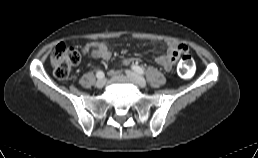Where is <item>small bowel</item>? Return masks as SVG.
<instances>
[{
  "label": "small bowel",
  "instance_id": "obj_1",
  "mask_svg": "<svg viewBox=\"0 0 258 158\" xmlns=\"http://www.w3.org/2000/svg\"><path fill=\"white\" fill-rule=\"evenodd\" d=\"M88 50L90 51V55L93 58H100L103 60H109L112 56V53L109 49V46L106 42H91L86 45ZM163 47L165 52L156 57L155 61L158 65H160L165 71H170L176 61L179 59L180 55L186 53L188 48L182 43L175 41L173 39H167L163 43ZM139 58L130 57L123 60L124 64H134L138 63ZM117 71L112 70V74H116Z\"/></svg>",
  "mask_w": 258,
  "mask_h": 158
}]
</instances>
